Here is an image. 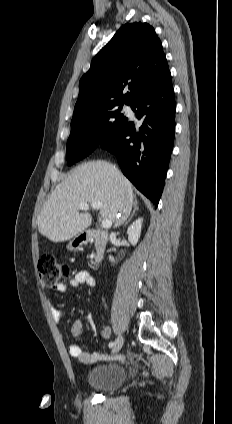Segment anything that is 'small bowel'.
<instances>
[{"label":"small bowel","instance_id":"obj_1","mask_svg":"<svg viewBox=\"0 0 232 424\" xmlns=\"http://www.w3.org/2000/svg\"><path fill=\"white\" fill-rule=\"evenodd\" d=\"M70 286L77 288L80 286L94 287L96 280L94 276L87 270L77 271L69 282ZM55 291L64 293L68 290V286L64 283H59L55 288ZM51 314L57 321H61L64 318V313L61 310L55 308L51 302H48ZM70 332L75 338H80L83 334V324L81 320L76 319L71 323ZM101 336L104 339H109L111 336V329L108 326H103L101 329ZM69 354L77 358L79 362L83 364H91L104 357V354L99 352H88L85 351L79 343H73L68 348Z\"/></svg>","mask_w":232,"mask_h":424}]
</instances>
